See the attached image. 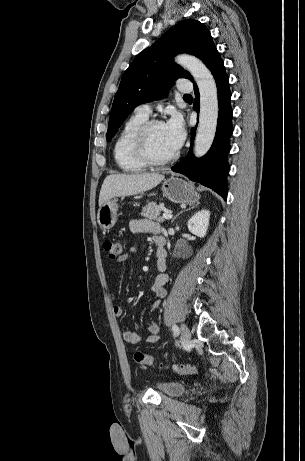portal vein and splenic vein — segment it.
Here are the masks:
<instances>
[{
    "mask_svg": "<svg viewBox=\"0 0 305 461\" xmlns=\"http://www.w3.org/2000/svg\"><path fill=\"white\" fill-rule=\"evenodd\" d=\"M162 217H163L164 219H171V218H172V214H170V213H163Z\"/></svg>",
    "mask_w": 305,
    "mask_h": 461,
    "instance_id": "18ae733b",
    "label": "portal vein and splenic vein"
}]
</instances>
